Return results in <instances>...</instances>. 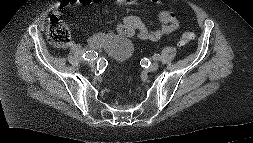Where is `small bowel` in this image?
I'll return each instance as SVG.
<instances>
[{"mask_svg": "<svg viewBox=\"0 0 253 143\" xmlns=\"http://www.w3.org/2000/svg\"><path fill=\"white\" fill-rule=\"evenodd\" d=\"M101 0H62L56 8L55 14L59 15L61 11L68 6L76 3L95 4ZM120 5H139L142 0H115ZM153 3H161V0H150ZM179 27V21L175 14L164 9L160 12L158 20L153 27L146 25L139 17L130 15L125 17L117 26L116 33L100 32L89 35L86 42L93 49H111L118 37L130 40L157 41L164 35L175 31Z\"/></svg>", "mask_w": 253, "mask_h": 143, "instance_id": "c3829d8e", "label": "small bowel"}]
</instances>
